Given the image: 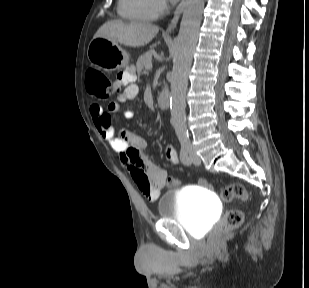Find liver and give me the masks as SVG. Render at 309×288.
<instances>
[{
	"label": "liver",
	"mask_w": 309,
	"mask_h": 288,
	"mask_svg": "<svg viewBox=\"0 0 309 288\" xmlns=\"http://www.w3.org/2000/svg\"><path fill=\"white\" fill-rule=\"evenodd\" d=\"M158 31V26L148 23L111 20L103 24L94 37H105L130 47H142L152 41Z\"/></svg>",
	"instance_id": "6515ba94"
}]
</instances>
